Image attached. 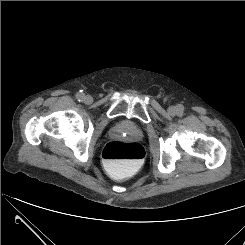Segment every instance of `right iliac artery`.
<instances>
[{
	"mask_svg": "<svg viewBox=\"0 0 245 245\" xmlns=\"http://www.w3.org/2000/svg\"><path fill=\"white\" fill-rule=\"evenodd\" d=\"M76 98H77L78 101H83L84 94H83V93H78V94L76 95Z\"/></svg>",
	"mask_w": 245,
	"mask_h": 245,
	"instance_id": "1",
	"label": "right iliac artery"
}]
</instances>
